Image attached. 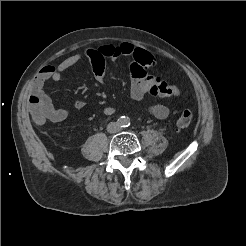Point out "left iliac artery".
I'll return each instance as SVG.
<instances>
[{
	"label": "left iliac artery",
	"instance_id": "obj_1",
	"mask_svg": "<svg viewBox=\"0 0 246 246\" xmlns=\"http://www.w3.org/2000/svg\"><path fill=\"white\" fill-rule=\"evenodd\" d=\"M126 126L130 125V122L128 120L125 121Z\"/></svg>",
	"mask_w": 246,
	"mask_h": 246
}]
</instances>
